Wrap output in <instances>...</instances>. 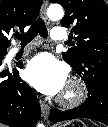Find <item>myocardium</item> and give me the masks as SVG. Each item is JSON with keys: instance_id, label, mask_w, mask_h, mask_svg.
<instances>
[{"instance_id": "1", "label": "myocardium", "mask_w": 108, "mask_h": 127, "mask_svg": "<svg viewBox=\"0 0 108 127\" xmlns=\"http://www.w3.org/2000/svg\"><path fill=\"white\" fill-rule=\"evenodd\" d=\"M85 98L86 87L84 82L80 78L72 77L64 92L59 96L58 102L65 108H73L83 103Z\"/></svg>"}]
</instances>
